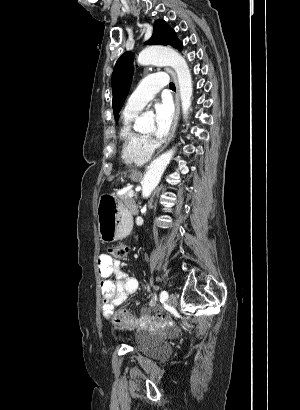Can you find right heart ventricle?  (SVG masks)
I'll return each mask as SVG.
<instances>
[{
  "mask_svg": "<svg viewBox=\"0 0 300 410\" xmlns=\"http://www.w3.org/2000/svg\"><path fill=\"white\" fill-rule=\"evenodd\" d=\"M138 112L124 111L121 127L120 140L122 143L121 157L126 164H144L152 154L145 137L133 128V120Z\"/></svg>",
  "mask_w": 300,
  "mask_h": 410,
  "instance_id": "1",
  "label": "right heart ventricle"
}]
</instances>
